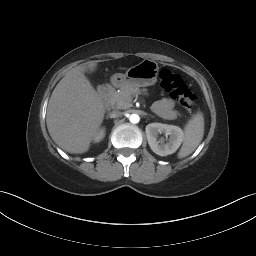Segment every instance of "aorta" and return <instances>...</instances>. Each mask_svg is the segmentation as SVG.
I'll return each instance as SVG.
<instances>
[{
  "label": "aorta",
  "instance_id": "1",
  "mask_svg": "<svg viewBox=\"0 0 256 256\" xmlns=\"http://www.w3.org/2000/svg\"><path fill=\"white\" fill-rule=\"evenodd\" d=\"M129 120H130L131 123L136 124V123H138L140 121V117L137 114H131L129 116Z\"/></svg>",
  "mask_w": 256,
  "mask_h": 256
}]
</instances>
